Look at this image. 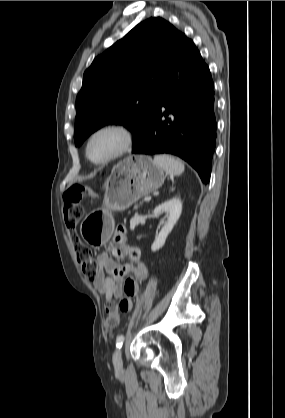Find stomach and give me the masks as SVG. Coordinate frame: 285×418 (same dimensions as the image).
I'll return each mask as SVG.
<instances>
[{"instance_id":"stomach-1","label":"stomach","mask_w":285,"mask_h":418,"mask_svg":"<svg viewBox=\"0 0 285 418\" xmlns=\"http://www.w3.org/2000/svg\"><path fill=\"white\" fill-rule=\"evenodd\" d=\"M164 180V170L149 156L131 155L119 162L111 172L102 207L88 214L80 225L83 239L93 246L107 243L115 225L112 211L129 208L160 188Z\"/></svg>"}]
</instances>
